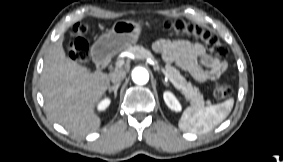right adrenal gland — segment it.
<instances>
[{
	"label": "right adrenal gland",
	"instance_id": "right-adrenal-gland-1",
	"mask_svg": "<svg viewBox=\"0 0 283 162\" xmlns=\"http://www.w3.org/2000/svg\"><path fill=\"white\" fill-rule=\"evenodd\" d=\"M119 86H120V84L109 87V94L113 91L114 92V99H116V97H117V91H118Z\"/></svg>",
	"mask_w": 283,
	"mask_h": 162
}]
</instances>
